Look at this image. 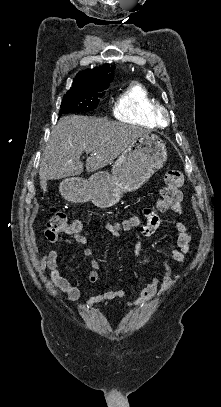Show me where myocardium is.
Returning a JSON list of instances; mask_svg holds the SVG:
<instances>
[{"label":"myocardium","mask_w":221,"mask_h":407,"mask_svg":"<svg viewBox=\"0 0 221 407\" xmlns=\"http://www.w3.org/2000/svg\"><path fill=\"white\" fill-rule=\"evenodd\" d=\"M156 123L161 127H167L170 123V112L167 108L158 105L154 111Z\"/></svg>","instance_id":"obj_1"}]
</instances>
